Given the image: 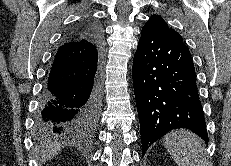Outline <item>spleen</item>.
Returning <instances> with one entry per match:
<instances>
[{"instance_id":"3e777b00","label":"spleen","mask_w":231,"mask_h":166,"mask_svg":"<svg viewBox=\"0 0 231 166\" xmlns=\"http://www.w3.org/2000/svg\"><path fill=\"white\" fill-rule=\"evenodd\" d=\"M163 144L178 166H207V158L197 135L185 130L169 132Z\"/></svg>"}]
</instances>
